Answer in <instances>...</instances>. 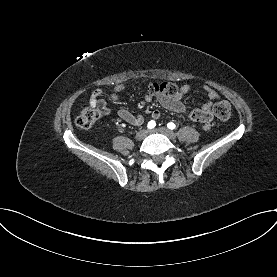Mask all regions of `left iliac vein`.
Here are the masks:
<instances>
[{"label": "left iliac vein", "mask_w": 277, "mask_h": 277, "mask_svg": "<svg viewBox=\"0 0 277 277\" xmlns=\"http://www.w3.org/2000/svg\"><path fill=\"white\" fill-rule=\"evenodd\" d=\"M157 131L160 132L161 134L167 136L168 138H170L172 140H174L176 138L175 133L172 130H170L168 128H165V127H161L159 129H153V130L150 131V133H155Z\"/></svg>", "instance_id": "4c4485c4"}]
</instances>
